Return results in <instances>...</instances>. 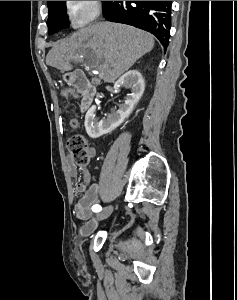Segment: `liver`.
<instances>
[{
  "instance_id": "6515ba94",
  "label": "liver",
  "mask_w": 237,
  "mask_h": 300,
  "mask_svg": "<svg viewBox=\"0 0 237 300\" xmlns=\"http://www.w3.org/2000/svg\"><path fill=\"white\" fill-rule=\"evenodd\" d=\"M153 47L154 37L150 33L105 21L83 27L69 39L54 43L46 57V65L59 69L60 73L71 71L70 61L85 59L86 53L91 49L98 57V71H105V83H114L137 59L152 51ZM102 59L108 65H101Z\"/></svg>"
}]
</instances>
